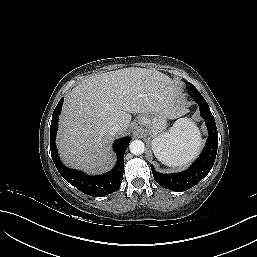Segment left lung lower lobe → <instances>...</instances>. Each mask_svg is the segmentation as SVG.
I'll use <instances>...</instances> for the list:
<instances>
[{"label":"left lung lower lobe","instance_id":"1","mask_svg":"<svg viewBox=\"0 0 257 257\" xmlns=\"http://www.w3.org/2000/svg\"><path fill=\"white\" fill-rule=\"evenodd\" d=\"M191 96L198 103L200 114L204 118L209 132L203 152L189 169L180 173L161 174L156 172L151 165L155 181L162 187L177 192L190 189L207 176L214 164L218 148L216 123L207 102L201 94H192Z\"/></svg>","mask_w":257,"mask_h":257}]
</instances>
